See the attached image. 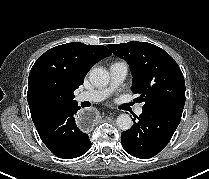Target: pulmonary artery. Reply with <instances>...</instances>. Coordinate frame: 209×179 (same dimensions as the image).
Listing matches in <instances>:
<instances>
[{"instance_id": "1", "label": "pulmonary artery", "mask_w": 209, "mask_h": 179, "mask_svg": "<svg viewBox=\"0 0 209 179\" xmlns=\"http://www.w3.org/2000/svg\"><path fill=\"white\" fill-rule=\"evenodd\" d=\"M128 72V67L124 62H114L110 65V85L108 87L99 88L90 91H84L76 96L78 102L88 101V102H100L106 99L111 92L120 86L126 78ZM143 109L139 106L136 109V114L141 115Z\"/></svg>"}]
</instances>
